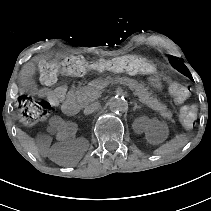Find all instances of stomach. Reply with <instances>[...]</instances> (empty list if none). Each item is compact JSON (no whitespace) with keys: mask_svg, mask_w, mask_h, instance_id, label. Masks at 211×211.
Instances as JSON below:
<instances>
[{"mask_svg":"<svg viewBox=\"0 0 211 211\" xmlns=\"http://www.w3.org/2000/svg\"><path fill=\"white\" fill-rule=\"evenodd\" d=\"M150 84L154 86L155 88H161V84L157 78H151Z\"/></svg>","mask_w":211,"mask_h":211,"instance_id":"1","label":"stomach"}]
</instances>
